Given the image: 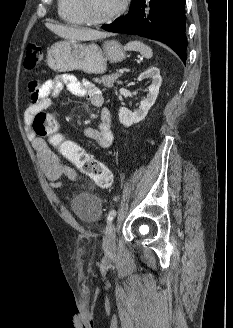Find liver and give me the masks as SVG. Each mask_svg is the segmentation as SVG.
<instances>
[{"mask_svg": "<svg viewBox=\"0 0 233 328\" xmlns=\"http://www.w3.org/2000/svg\"><path fill=\"white\" fill-rule=\"evenodd\" d=\"M45 25L50 31L68 41L97 40L105 37L106 35L103 32L89 28H79L51 23H47Z\"/></svg>", "mask_w": 233, "mask_h": 328, "instance_id": "6515ba94", "label": "liver"}]
</instances>
